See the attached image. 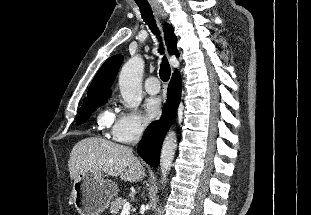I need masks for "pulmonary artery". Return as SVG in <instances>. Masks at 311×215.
I'll list each match as a JSON object with an SVG mask.
<instances>
[{
	"mask_svg": "<svg viewBox=\"0 0 311 215\" xmlns=\"http://www.w3.org/2000/svg\"><path fill=\"white\" fill-rule=\"evenodd\" d=\"M145 89L149 94H157L160 90V84L156 77L152 76L146 79Z\"/></svg>",
	"mask_w": 311,
	"mask_h": 215,
	"instance_id": "1",
	"label": "pulmonary artery"
}]
</instances>
